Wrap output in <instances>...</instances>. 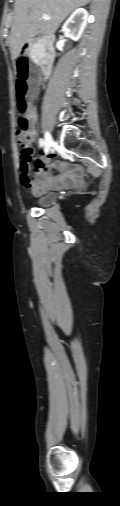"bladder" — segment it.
I'll list each match as a JSON object with an SVG mask.
<instances>
[{"mask_svg": "<svg viewBox=\"0 0 120 506\" xmlns=\"http://www.w3.org/2000/svg\"><path fill=\"white\" fill-rule=\"evenodd\" d=\"M57 199V194L53 192L45 193L36 200V204L41 207H46L54 203Z\"/></svg>", "mask_w": 120, "mask_h": 506, "instance_id": "1", "label": "bladder"}]
</instances>
